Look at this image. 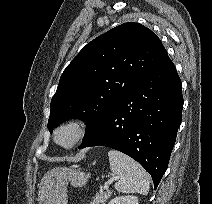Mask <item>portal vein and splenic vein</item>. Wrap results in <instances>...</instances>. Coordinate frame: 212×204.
I'll return each mask as SVG.
<instances>
[{"instance_id":"portal-vein-and-splenic-vein-1","label":"portal vein and splenic vein","mask_w":212,"mask_h":204,"mask_svg":"<svg viewBox=\"0 0 212 204\" xmlns=\"http://www.w3.org/2000/svg\"><path fill=\"white\" fill-rule=\"evenodd\" d=\"M118 178L117 177H111L106 183H105V186H104V189H108V187L110 186V184L117 180Z\"/></svg>"}]
</instances>
